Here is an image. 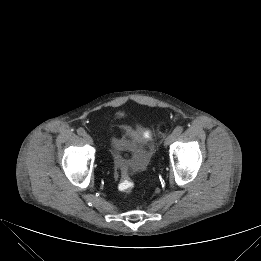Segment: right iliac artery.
<instances>
[{"instance_id":"1","label":"right iliac artery","mask_w":261,"mask_h":261,"mask_svg":"<svg viewBox=\"0 0 261 261\" xmlns=\"http://www.w3.org/2000/svg\"><path fill=\"white\" fill-rule=\"evenodd\" d=\"M77 133L80 135V136H84L86 134L85 130L83 128H78L77 129Z\"/></svg>"}]
</instances>
